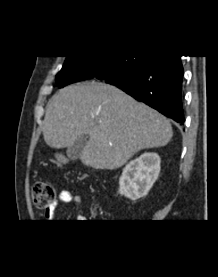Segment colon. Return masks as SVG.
Instances as JSON below:
<instances>
[{
	"label": "colon",
	"mask_w": 218,
	"mask_h": 277,
	"mask_svg": "<svg viewBox=\"0 0 218 277\" xmlns=\"http://www.w3.org/2000/svg\"><path fill=\"white\" fill-rule=\"evenodd\" d=\"M31 195L34 205L39 209L49 207L56 199L54 187L46 182H35L32 185Z\"/></svg>",
	"instance_id": "colon-1"
}]
</instances>
